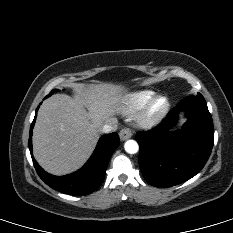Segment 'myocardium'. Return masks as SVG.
<instances>
[{
	"label": "myocardium",
	"mask_w": 233,
	"mask_h": 233,
	"mask_svg": "<svg viewBox=\"0 0 233 233\" xmlns=\"http://www.w3.org/2000/svg\"><path fill=\"white\" fill-rule=\"evenodd\" d=\"M160 101L163 103L162 107L159 110H155V105ZM169 109V99L164 95H155L138 112L137 123L145 128L155 126L165 118Z\"/></svg>",
	"instance_id": "f54148a6"
}]
</instances>
